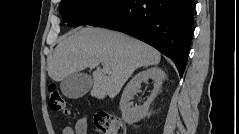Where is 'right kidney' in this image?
I'll return each mask as SVG.
<instances>
[{
  "instance_id": "obj_1",
  "label": "right kidney",
  "mask_w": 239,
  "mask_h": 134,
  "mask_svg": "<svg viewBox=\"0 0 239 134\" xmlns=\"http://www.w3.org/2000/svg\"><path fill=\"white\" fill-rule=\"evenodd\" d=\"M165 77V72L162 69L158 67H152L139 72L132 78V80H130V82L124 88L120 100L122 118L126 123L133 124L135 122L140 121L147 115L149 105L157 96ZM148 79H151L153 81L154 86L150 97L142 106L133 107L130 100L140 89L141 83Z\"/></svg>"
}]
</instances>
